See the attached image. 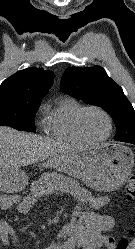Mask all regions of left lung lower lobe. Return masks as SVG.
I'll return each instance as SVG.
<instances>
[{"label": "left lung lower lobe", "mask_w": 135, "mask_h": 249, "mask_svg": "<svg viewBox=\"0 0 135 249\" xmlns=\"http://www.w3.org/2000/svg\"><path fill=\"white\" fill-rule=\"evenodd\" d=\"M129 143H131V144H134V145H135V141H131V142H129Z\"/></svg>", "instance_id": "obj_1"}]
</instances>
